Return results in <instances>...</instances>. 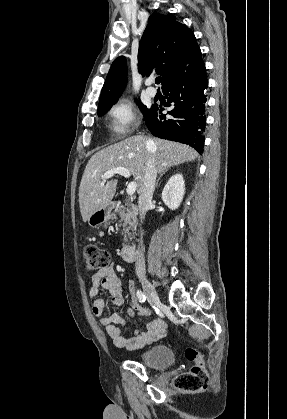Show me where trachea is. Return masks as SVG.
<instances>
[{
    "instance_id": "trachea-1",
    "label": "trachea",
    "mask_w": 287,
    "mask_h": 419,
    "mask_svg": "<svg viewBox=\"0 0 287 419\" xmlns=\"http://www.w3.org/2000/svg\"><path fill=\"white\" fill-rule=\"evenodd\" d=\"M155 82H156V84H160V82H161V77H157V78H156V80H155Z\"/></svg>"
}]
</instances>
